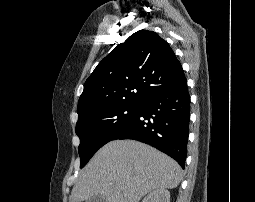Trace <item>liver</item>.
<instances>
[{"label":"liver","mask_w":255,"mask_h":202,"mask_svg":"<svg viewBox=\"0 0 255 202\" xmlns=\"http://www.w3.org/2000/svg\"><path fill=\"white\" fill-rule=\"evenodd\" d=\"M182 171L176 161L135 140L104 145L76 181L71 202H87L98 195L106 202H139L155 189L176 188Z\"/></svg>","instance_id":"1"}]
</instances>
